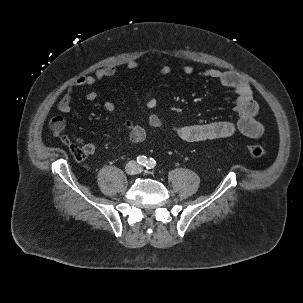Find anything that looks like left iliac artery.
<instances>
[{
  "label": "left iliac artery",
  "instance_id": "left-iliac-artery-1",
  "mask_svg": "<svg viewBox=\"0 0 303 303\" xmlns=\"http://www.w3.org/2000/svg\"><path fill=\"white\" fill-rule=\"evenodd\" d=\"M156 166V161L153 158H150L147 163V169H154Z\"/></svg>",
  "mask_w": 303,
  "mask_h": 303
}]
</instances>
